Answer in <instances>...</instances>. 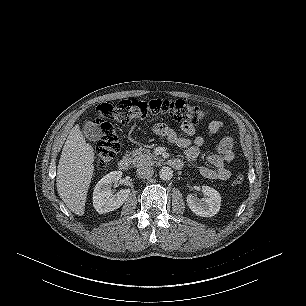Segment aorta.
<instances>
[{
    "label": "aorta",
    "instance_id": "aorta-1",
    "mask_svg": "<svg viewBox=\"0 0 306 306\" xmlns=\"http://www.w3.org/2000/svg\"><path fill=\"white\" fill-rule=\"evenodd\" d=\"M159 176L164 181L170 180L173 177V170L170 167H162Z\"/></svg>",
    "mask_w": 306,
    "mask_h": 306
}]
</instances>
